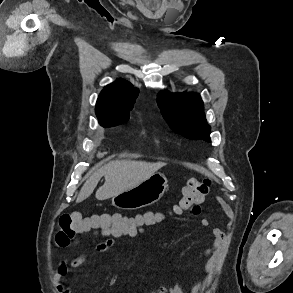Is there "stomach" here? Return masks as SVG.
<instances>
[{
    "mask_svg": "<svg viewBox=\"0 0 293 293\" xmlns=\"http://www.w3.org/2000/svg\"><path fill=\"white\" fill-rule=\"evenodd\" d=\"M168 187L164 174L155 173L139 185L112 197V204L124 210H136L159 201Z\"/></svg>",
    "mask_w": 293,
    "mask_h": 293,
    "instance_id": "stomach-1",
    "label": "stomach"
}]
</instances>
